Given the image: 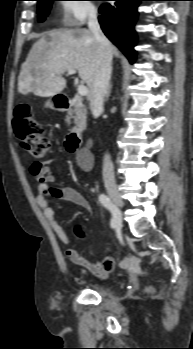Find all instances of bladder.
<instances>
[{
    "instance_id": "1",
    "label": "bladder",
    "mask_w": 193,
    "mask_h": 349,
    "mask_svg": "<svg viewBox=\"0 0 193 349\" xmlns=\"http://www.w3.org/2000/svg\"><path fill=\"white\" fill-rule=\"evenodd\" d=\"M103 293H104V291L99 289V294L102 295Z\"/></svg>"
}]
</instances>
